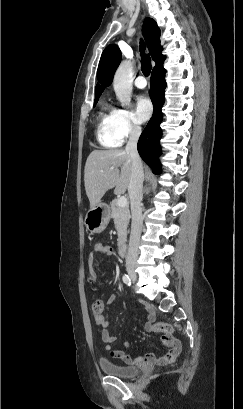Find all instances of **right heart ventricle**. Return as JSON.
<instances>
[{
	"mask_svg": "<svg viewBox=\"0 0 243 409\" xmlns=\"http://www.w3.org/2000/svg\"><path fill=\"white\" fill-rule=\"evenodd\" d=\"M113 109L106 102H102L101 109L98 115V131L97 138L101 145L107 148L118 147L121 141L114 135L111 128V115Z\"/></svg>",
	"mask_w": 243,
	"mask_h": 409,
	"instance_id": "right-heart-ventricle-1",
	"label": "right heart ventricle"
}]
</instances>
